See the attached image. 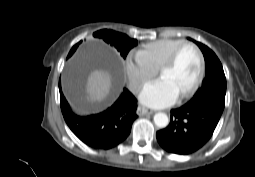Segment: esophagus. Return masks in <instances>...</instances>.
Segmentation results:
<instances>
[{
	"label": "esophagus",
	"mask_w": 255,
	"mask_h": 177,
	"mask_svg": "<svg viewBox=\"0 0 255 177\" xmlns=\"http://www.w3.org/2000/svg\"><path fill=\"white\" fill-rule=\"evenodd\" d=\"M153 113H154V111L152 109H149V108H146V107H143V106H139L137 108V114L139 116H147V115H151Z\"/></svg>",
	"instance_id": "34e87169"
}]
</instances>
